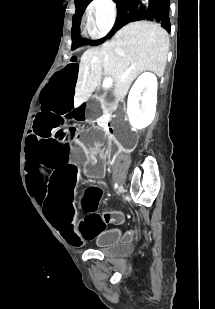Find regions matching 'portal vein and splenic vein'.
I'll return each instance as SVG.
<instances>
[{"mask_svg":"<svg viewBox=\"0 0 215 309\" xmlns=\"http://www.w3.org/2000/svg\"><path fill=\"white\" fill-rule=\"evenodd\" d=\"M112 84H113V78H104L103 80L104 88H108V86H112Z\"/></svg>","mask_w":215,"mask_h":309,"instance_id":"1","label":"portal vein and splenic vein"}]
</instances>
